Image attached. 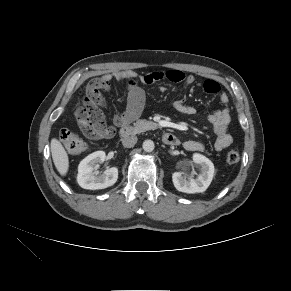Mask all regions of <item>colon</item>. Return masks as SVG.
Returning <instances> with one entry per match:
<instances>
[{"label":"colon","instance_id":"colon-1","mask_svg":"<svg viewBox=\"0 0 291 291\" xmlns=\"http://www.w3.org/2000/svg\"><path fill=\"white\" fill-rule=\"evenodd\" d=\"M100 91L98 87L87 88L82 98V106L75 112V117L85 133L91 132L101 121L100 107L103 105V98ZM60 140L71 154H80L87 149V143L71 128L65 127L61 130ZM239 159L240 155L236 150H229L225 155L228 164H235Z\"/></svg>","mask_w":291,"mask_h":291}]
</instances>
